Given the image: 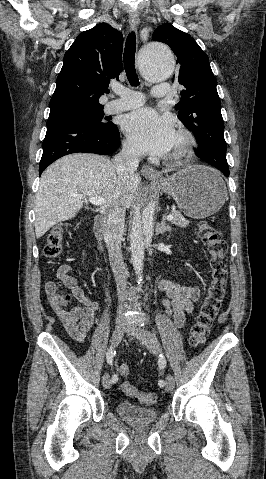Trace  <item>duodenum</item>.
Masks as SVG:
<instances>
[{"label":"duodenum","instance_id":"obj_1","mask_svg":"<svg viewBox=\"0 0 266 479\" xmlns=\"http://www.w3.org/2000/svg\"><path fill=\"white\" fill-rule=\"evenodd\" d=\"M106 220L102 215H98L95 219L94 225V233L95 237L98 240V247L101 252L105 250L104 244V228H105Z\"/></svg>","mask_w":266,"mask_h":479}]
</instances>
